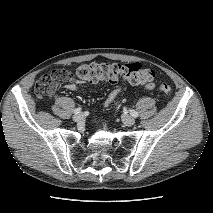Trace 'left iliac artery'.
Instances as JSON below:
<instances>
[{
  "label": "left iliac artery",
  "mask_w": 213,
  "mask_h": 213,
  "mask_svg": "<svg viewBox=\"0 0 213 213\" xmlns=\"http://www.w3.org/2000/svg\"><path fill=\"white\" fill-rule=\"evenodd\" d=\"M130 114L135 118L138 117V113L135 110H130Z\"/></svg>",
  "instance_id": "44dca946"
}]
</instances>
